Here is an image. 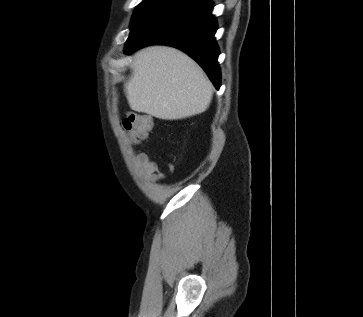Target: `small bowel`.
Instances as JSON below:
<instances>
[{"label":"small bowel","mask_w":363,"mask_h":317,"mask_svg":"<svg viewBox=\"0 0 363 317\" xmlns=\"http://www.w3.org/2000/svg\"><path fill=\"white\" fill-rule=\"evenodd\" d=\"M140 164H142L145 168L148 178L151 181H161L164 176L157 171L156 165L149 161L146 155H139L138 157Z\"/></svg>","instance_id":"c3829d8e"}]
</instances>
